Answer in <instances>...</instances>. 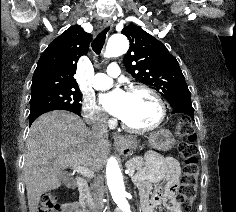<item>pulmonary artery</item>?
I'll return each instance as SVG.
<instances>
[{
  "instance_id": "pulmonary-artery-1",
  "label": "pulmonary artery",
  "mask_w": 236,
  "mask_h": 212,
  "mask_svg": "<svg viewBox=\"0 0 236 212\" xmlns=\"http://www.w3.org/2000/svg\"><path fill=\"white\" fill-rule=\"evenodd\" d=\"M120 74V67L117 63H112L108 66L106 73H97L94 76L93 85L97 89L108 88L112 82L113 78Z\"/></svg>"
}]
</instances>
